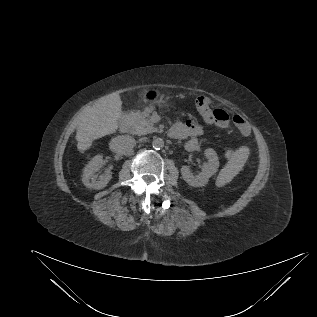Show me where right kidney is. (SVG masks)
Masks as SVG:
<instances>
[{
	"label": "right kidney",
	"mask_w": 317,
	"mask_h": 317,
	"mask_svg": "<svg viewBox=\"0 0 317 317\" xmlns=\"http://www.w3.org/2000/svg\"><path fill=\"white\" fill-rule=\"evenodd\" d=\"M102 165L103 157L101 155H96L89 161V163L84 168L82 176V182L84 186L90 189H102L106 187L112 178V173L110 171H105L100 179H97L96 176L93 175V172L97 171Z\"/></svg>",
	"instance_id": "obj_1"
}]
</instances>
